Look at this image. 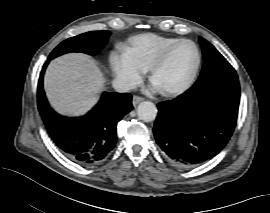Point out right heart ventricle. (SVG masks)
<instances>
[{
	"instance_id": "e07e8e85",
	"label": "right heart ventricle",
	"mask_w": 270,
	"mask_h": 213,
	"mask_svg": "<svg viewBox=\"0 0 270 213\" xmlns=\"http://www.w3.org/2000/svg\"><path fill=\"white\" fill-rule=\"evenodd\" d=\"M177 40L179 38L142 34L132 38L129 45L122 48V54L130 64L147 69L164 48Z\"/></svg>"
}]
</instances>
